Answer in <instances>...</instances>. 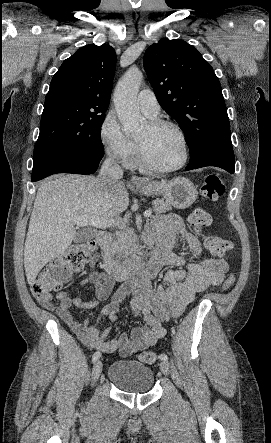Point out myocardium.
<instances>
[{
  "mask_svg": "<svg viewBox=\"0 0 271 443\" xmlns=\"http://www.w3.org/2000/svg\"><path fill=\"white\" fill-rule=\"evenodd\" d=\"M148 125L152 129H157L160 127H171L173 129H175L179 133V135L182 139L183 147H184V154H183L182 160L175 165L166 166V167L159 166L150 160L144 147L141 145V143L139 141L136 140L138 158H139V162L141 163V165L151 171L159 172V173H168V172L179 170L182 167H184L188 163L189 158H190L189 139H188V136H187L186 132L184 131V129L180 125H178L177 123H175L171 120L159 119V118H154V119L149 120Z\"/></svg>",
  "mask_w": 271,
  "mask_h": 443,
  "instance_id": "f54148a6",
  "label": "myocardium"
}]
</instances>
